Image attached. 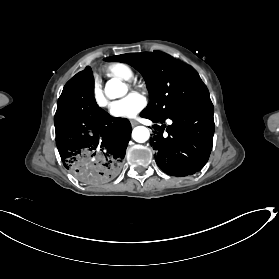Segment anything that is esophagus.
Segmentation results:
<instances>
[{
    "instance_id": "esophagus-1",
    "label": "esophagus",
    "mask_w": 279,
    "mask_h": 279,
    "mask_svg": "<svg viewBox=\"0 0 279 279\" xmlns=\"http://www.w3.org/2000/svg\"><path fill=\"white\" fill-rule=\"evenodd\" d=\"M130 123L132 124V126H135L138 124V122L136 120H130Z\"/></svg>"
}]
</instances>
